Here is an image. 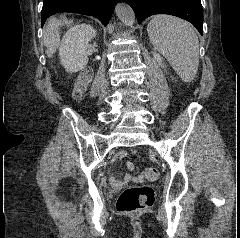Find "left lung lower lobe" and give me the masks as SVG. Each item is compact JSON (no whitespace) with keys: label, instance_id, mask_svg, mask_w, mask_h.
Returning <instances> with one entry per match:
<instances>
[{"label":"left lung lower lobe","instance_id":"0a47b994","mask_svg":"<svg viewBox=\"0 0 240 238\" xmlns=\"http://www.w3.org/2000/svg\"><path fill=\"white\" fill-rule=\"evenodd\" d=\"M135 12L139 24L148 16L168 14L192 23L203 34L201 0H125Z\"/></svg>","mask_w":240,"mask_h":238}]
</instances>
